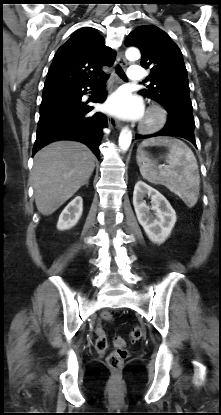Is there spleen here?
Masks as SVG:
<instances>
[{"mask_svg":"<svg viewBox=\"0 0 221 415\" xmlns=\"http://www.w3.org/2000/svg\"><path fill=\"white\" fill-rule=\"evenodd\" d=\"M147 146L167 147L168 166L157 168L155 163L145 158L142 148ZM137 152V163L144 179L152 184L167 187L189 207L197 203L200 189L198 164L194 153L185 143L168 137L150 138L139 145Z\"/></svg>","mask_w":221,"mask_h":415,"instance_id":"obj_1","label":"spleen"}]
</instances>
